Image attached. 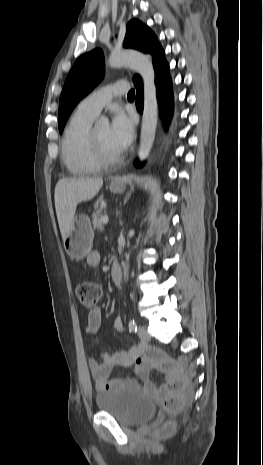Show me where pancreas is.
<instances>
[{
    "label": "pancreas",
    "instance_id": "cf45deb5",
    "mask_svg": "<svg viewBox=\"0 0 263 465\" xmlns=\"http://www.w3.org/2000/svg\"><path fill=\"white\" fill-rule=\"evenodd\" d=\"M93 218V227L94 229H103V224L101 221L102 214L100 210H97L95 213L92 215Z\"/></svg>",
    "mask_w": 263,
    "mask_h": 465
}]
</instances>
